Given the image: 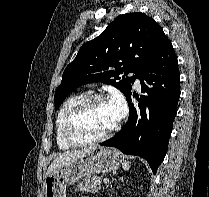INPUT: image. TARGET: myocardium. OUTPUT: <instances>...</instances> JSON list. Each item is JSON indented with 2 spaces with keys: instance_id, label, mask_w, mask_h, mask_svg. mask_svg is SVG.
<instances>
[{
  "instance_id": "obj_1",
  "label": "myocardium",
  "mask_w": 209,
  "mask_h": 197,
  "mask_svg": "<svg viewBox=\"0 0 209 197\" xmlns=\"http://www.w3.org/2000/svg\"><path fill=\"white\" fill-rule=\"evenodd\" d=\"M106 98L101 94H91L81 99L66 115L63 126L65 140L72 146H87L102 142L109 138L119 127L116 122L109 130L100 136L93 138H79L74 134L75 121L78 115L90 105L103 102Z\"/></svg>"
}]
</instances>
